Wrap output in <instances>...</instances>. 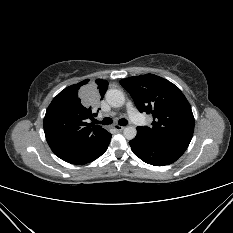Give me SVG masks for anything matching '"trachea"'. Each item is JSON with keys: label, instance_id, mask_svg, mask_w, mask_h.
Wrapping results in <instances>:
<instances>
[{"label": "trachea", "instance_id": "1", "mask_svg": "<svg viewBox=\"0 0 233 233\" xmlns=\"http://www.w3.org/2000/svg\"><path fill=\"white\" fill-rule=\"evenodd\" d=\"M96 123L103 124V125H109L113 123V120L109 117L104 118L102 121H95ZM119 125L126 126L128 124V121L126 119H120L118 121Z\"/></svg>", "mask_w": 233, "mask_h": 233}]
</instances>
